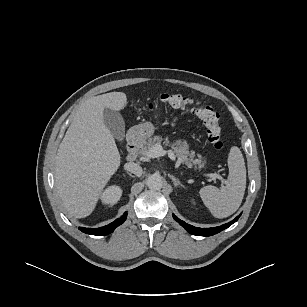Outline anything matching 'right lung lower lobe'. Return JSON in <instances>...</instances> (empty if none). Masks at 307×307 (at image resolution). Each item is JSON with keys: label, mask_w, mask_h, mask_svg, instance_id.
<instances>
[{"label": "right lung lower lobe", "mask_w": 307, "mask_h": 307, "mask_svg": "<svg viewBox=\"0 0 307 307\" xmlns=\"http://www.w3.org/2000/svg\"><path fill=\"white\" fill-rule=\"evenodd\" d=\"M126 217H127V212H125L123 216H121V218L116 219L114 222L108 224L107 226L94 228V229L79 227V229L86 234L108 235L111 232H113L117 226L121 225L126 220Z\"/></svg>", "instance_id": "right-lung-lower-lobe-1"}]
</instances>
